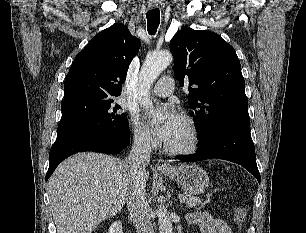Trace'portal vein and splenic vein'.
<instances>
[{
  "mask_svg": "<svg viewBox=\"0 0 306 233\" xmlns=\"http://www.w3.org/2000/svg\"><path fill=\"white\" fill-rule=\"evenodd\" d=\"M180 202H181V203L185 202V199L181 197V198H180Z\"/></svg>",
  "mask_w": 306,
  "mask_h": 233,
  "instance_id": "portal-vein-and-splenic-vein-1",
  "label": "portal vein and splenic vein"
}]
</instances>
